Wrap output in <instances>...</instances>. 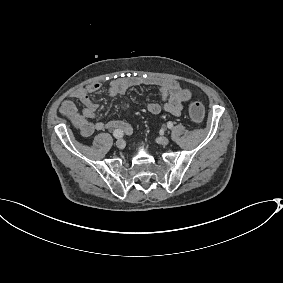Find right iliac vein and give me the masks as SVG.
<instances>
[{"label":"right iliac vein","instance_id":"obj_1","mask_svg":"<svg viewBox=\"0 0 283 283\" xmlns=\"http://www.w3.org/2000/svg\"><path fill=\"white\" fill-rule=\"evenodd\" d=\"M116 146L119 149H123L125 147V141L123 139H118L116 141Z\"/></svg>","mask_w":283,"mask_h":283}]
</instances>
